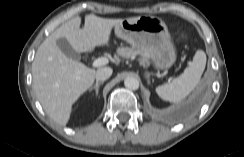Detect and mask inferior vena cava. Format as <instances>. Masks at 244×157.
<instances>
[{
	"mask_svg": "<svg viewBox=\"0 0 244 157\" xmlns=\"http://www.w3.org/2000/svg\"><path fill=\"white\" fill-rule=\"evenodd\" d=\"M112 75V69L110 67L99 68L96 71L95 78L97 81H105Z\"/></svg>",
	"mask_w": 244,
	"mask_h": 157,
	"instance_id": "1",
	"label": "inferior vena cava"
}]
</instances>
